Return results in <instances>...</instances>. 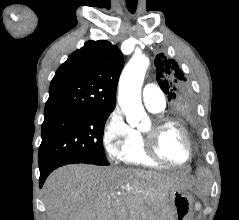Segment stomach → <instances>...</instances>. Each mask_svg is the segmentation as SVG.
I'll use <instances>...</instances> for the list:
<instances>
[{"instance_id": "stomach-1", "label": "stomach", "mask_w": 239, "mask_h": 220, "mask_svg": "<svg viewBox=\"0 0 239 220\" xmlns=\"http://www.w3.org/2000/svg\"><path fill=\"white\" fill-rule=\"evenodd\" d=\"M169 203L173 210L174 220H189L193 210V198L185 189L171 190Z\"/></svg>"}]
</instances>
